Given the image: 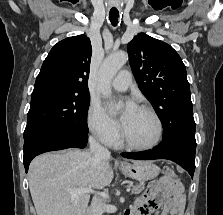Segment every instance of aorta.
Listing matches in <instances>:
<instances>
[{
	"label": "aorta",
	"mask_w": 223,
	"mask_h": 215,
	"mask_svg": "<svg viewBox=\"0 0 223 215\" xmlns=\"http://www.w3.org/2000/svg\"><path fill=\"white\" fill-rule=\"evenodd\" d=\"M126 62H128L127 52H115V54L107 56L102 62L99 68V86L97 90L101 92L104 98H111V82ZM121 108H123V104L114 106V108L109 109V113H118Z\"/></svg>",
	"instance_id": "762f6f07"
}]
</instances>
